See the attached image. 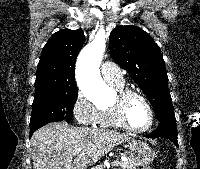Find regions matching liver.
Returning <instances> with one entry per match:
<instances>
[{"instance_id":"1","label":"liver","mask_w":200,"mask_h":169,"mask_svg":"<svg viewBox=\"0 0 200 169\" xmlns=\"http://www.w3.org/2000/svg\"><path fill=\"white\" fill-rule=\"evenodd\" d=\"M130 140L128 135L113 130L50 123L31 138L33 169H86L116 145Z\"/></svg>"}]
</instances>
